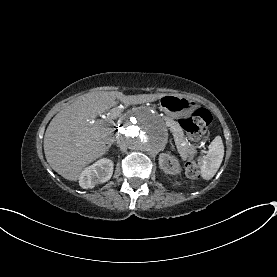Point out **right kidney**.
Instances as JSON below:
<instances>
[{"label": "right kidney", "mask_w": 277, "mask_h": 277, "mask_svg": "<svg viewBox=\"0 0 277 277\" xmlns=\"http://www.w3.org/2000/svg\"><path fill=\"white\" fill-rule=\"evenodd\" d=\"M113 162L102 159L84 170L80 178V185L84 189H93L101 182H107L113 174Z\"/></svg>", "instance_id": "1"}]
</instances>
